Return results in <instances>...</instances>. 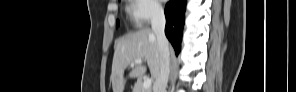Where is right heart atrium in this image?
I'll return each instance as SVG.
<instances>
[{
    "instance_id": "obj_1",
    "label": "right heart atrium",
    "mask_w": 296,
    "mask_h": 92,
    "mask_svg": "<svg viewBox=\"0 0 296 92\" xmlns=\"http://www.w3.org/2000/svg\"><path fill=\"white\" fill-rule=\"evenodd\" d=\"M163 13L162 6L158 1L133 0L131 1L129 14L135 23L145 25Z\"/></svg>"
}]
</instances>
